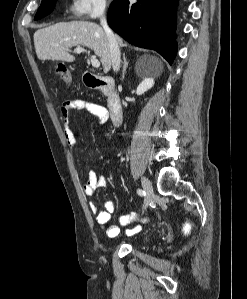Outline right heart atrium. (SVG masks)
I'll return each instance as SVG.
<instances>
[{"instance_id":"right-heart-atrium-1","label":"right heart atrium","mask_w":247,"mask_h":299,"mask_svg":"<svg viewBox=\"0 0 247 299\" xmlns=\"http://www.w3.org/2000/svg\"><path fill=\"white\" fill-rule=\"evenodd\" d=\"M107 8V0H72L70 13L75 17H97Z\"/></svg>"}]
</instances>
